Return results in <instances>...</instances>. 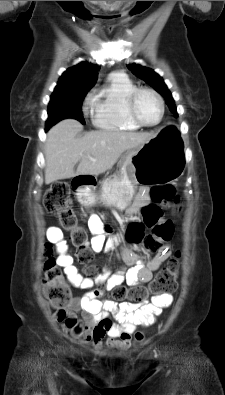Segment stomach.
Listing matches in <instances>:
<instances>
[{"mask_svg": "<svg viewBox=\"0 0 225 395\" xmlns=\"http://www.w3.org/2000/svg\"><path fill=\"white\" fill-rule=\"evenodd\" d=\"M182 175L180 162L166 148L160 146L158 137L128 152L119 178H107L102 182L101 194L81 188L78 199L85 206L98 200L107 206L125 209L131 204L138 185H154L172 182Z\"/></svg>", "mask_w": 225, "mask_h": 395, "instance_id": "stomach-1", "label": "stomach"}]
</instances>
